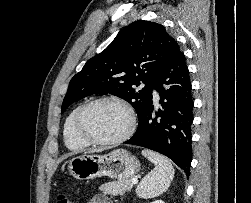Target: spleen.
<instances>
[{"label":"spleen","instance_id":"3e777b00","mask_svg":"<svg viewBox=\"0 0 251 203\" xmlns=\"http://www.w3.org/2000/svg\"><path fill=\"white\" fill-rule=\"evenodd\" d=\"M142 155L151 161L155 168L141 180L136 188V193L140 198H154L169 188L175 170L171 162L157 152L144 149Z\"/></svg>","mask_w":251,"mask_h":203}]
</instances>
